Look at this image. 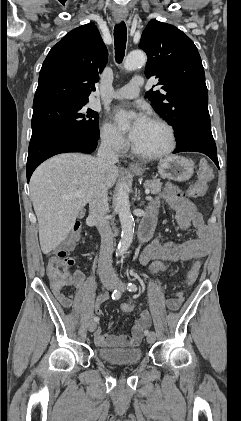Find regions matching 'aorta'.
Listing matches in <instances>:
<instances>
[{
	"label": "aorta",
	"mask_w": 241,
	"mask_h": 421,
	"mask_svg": "<svg viewBox=\"0 0 241 421\" xmlns=\"http://www.w3.org/2000/svg\"><path fill=\"white\" fill-rule=\"evenodd\" d=\"M147 61L146 54L143 51L136 50L130 52L124 62V69L127 71L135 70L143 66ZM124 126H128L125 124ZM116 211L121 223V241L118 246L119 255H123L130 247L134 235V218L130 211L129 196L121 186L116 196Z\"/></svg>",
	"instance_id": "obj_1"
}]
</instances>
